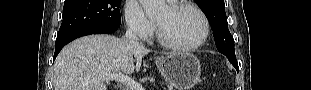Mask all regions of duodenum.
I'll return each mask as SVG.
<instances>
[{
	"label": "duodenum",
	"mask_w": 311,
	"mask_h": 90,
	"mask_svg": "<svg viewBox=\"0 0 311 90\" xmlns=\"http://www.w3.org/2000/svg\"><path fill=\"white\" fill-rule=\"evenodd\" d=\"M119 90H123V88H118Z\"/></svg>",
	"instance_id": "duodenum-1"
}]
</instances>
